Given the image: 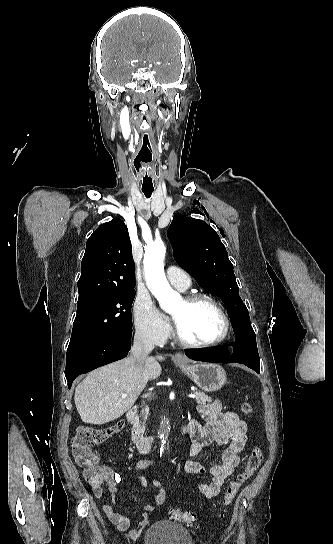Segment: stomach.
Returning a JSON list of instances; mask_svg holds the SVG:
<instances>
[{"mask_svg":"<svg viewBox=\"0 0 333 544\" xmlns=\"http://www.w3.org/2000/svg\"><path fill=\"white\" fill-rule=\"evenodd\" d=\"M176 365L202 390L216 392L227 382L225 370L214 363Z\"/></svg>","mask_w":333,"mask_h":544,"instance_id":"stomach-1","label":"stomach"}]
</instances>
